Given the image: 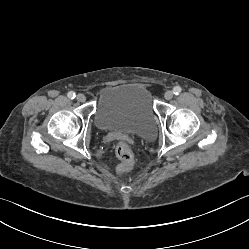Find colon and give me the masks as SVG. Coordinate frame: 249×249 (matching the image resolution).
Returning a JSON list of instances; mask_svg holds the SVG:
<instances>
[{"instance_id": "5ec220e1", "label": "colon", "mask_w": 249, "mask_h": 249, "mask_svg": "<svg viewBox=\"0 0 249 249\" xmlns=\"http://www.w3.org/2000/svg\"><path fill=\"white\" fill-rule=\"evenodd\" d=\"M116 154L121 161L119 170L127 171L133 167L134 158L128 143L121 141L116 146Z\"/></svg>"}]
</instances>
